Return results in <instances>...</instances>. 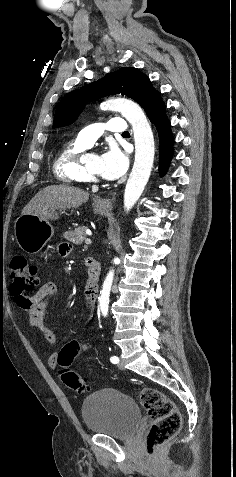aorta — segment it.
<instances>
[{"mask_svg":"<svg viewBox=\"0 0 236 477\" xmlns=\"http://www.w3.org/2000/svg\"><path fill=\"white\" fill-rule=\"evenodd\" d=\"M102 110L118 111L132 125L135 141V161L124 192V208L129 211L140 198L151 174L155 145L151 126L141 107L131 100L116 98L101 104ZM118 259H114L117 261ZM114 270H110L100 291L99 305L107 316Z\"/></svg>","mask_w":236,"mask_h":477,"instance_id":"762f6f07","label":"aorta"}]
</instances>
